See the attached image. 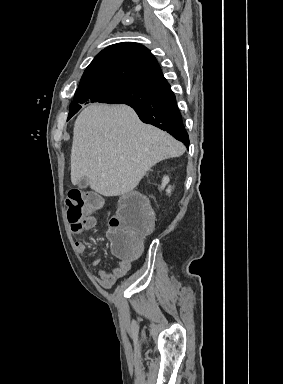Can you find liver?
I'll return each instance as SVG.
<instances>
[{
  "label": "liver",
  "instance_id": "liver-1",
  "mask_svg": "<svg viewBox=\"0 0 283 384\" xmlns=\"http://www.w3.org/2000/svg\"><path fill=\"white\" fill-rule=\"evenodd\" d=\"M186 148L172 136L142 124L125 104H90L73 130L71 182L86 178L102 196H122L134 190L157 162L179 158Z\"/></svg>",
  "mask_w": 283,
  "mask_h": 384
}]
</instances>
